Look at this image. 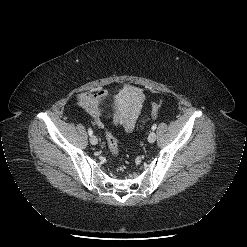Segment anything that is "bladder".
Returning <instances> with one entry per match:
<instances>
[{
    "instance_id": "bladder-1",
    "label": "bladder",
    "mask_w": 247,
    "mask_h": 247,
    "mask_svg": "<svg viewBox=\"0 0 247 247\" xmlns=\"http://www.w3.org/2000/svg\"><path fill=\"white\" fill-rule=\"evenodd\" d=\"M129 90L134 91V88H129ZM114 122L118 126L126 127L131 123V117L130 116H124V115L120 114L114 118Z\"/></svg>"
}]
</instances>
